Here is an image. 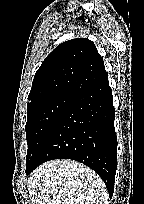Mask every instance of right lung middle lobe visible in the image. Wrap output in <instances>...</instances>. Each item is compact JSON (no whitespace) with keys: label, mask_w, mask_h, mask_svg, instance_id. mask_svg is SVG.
<instances>
[{"label":"right lung middle lobe","mask_w":144,"mask_h":204,"mask_svg":"<svg viewBox=\"0 0 144 204\" xmlns=\"http://www.w3.org/2000/svg\"><path fill=\"white\" fill-rule=\"evenodd\" d=\"M74 97L72 94H58L27 108L26 137L28 151L26 169L33 164L36 154Z\"/></svg>","instance_id":"dd1d6c3e"}]
</instances>
